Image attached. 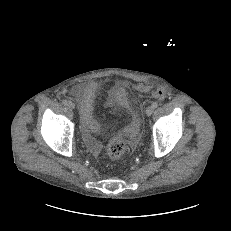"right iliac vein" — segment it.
Here are the masks:
<instances>
[{
	"mask_svg": "<svg viewBox=\"0 0 231 231\" xmlns=\"http://www.w3.org/2000/svg\"><path fill=\"white\" fill-rule=\"evenodd\" d=\"M67 106H68V108H70V109H74V108H75V104H74L72 101H68V102H67Z\"/></svg>",
	"mask_w": 231,
	"mask_h": 231,
	"instance_id": "63e3f726",
	"label": "right iliac vein"
}]
</instances>
